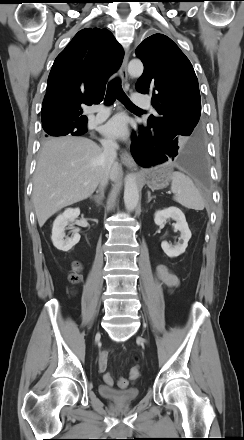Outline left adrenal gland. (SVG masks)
<instances>
[{
  "mask_svg": "<svg viewBox=\"0 0 244 440\" xmlns=\"http://www.w3.org/2000/svg\"><path fill=\"white\" fill-rule=\"evenodd\" d=\"M154 198H156V196H151V193L148 192V201L147 202L149 203Z\"/></svg>",
  "mask_w": 244,
  "mask_h": 440,
  "instance_id": "left-adrenal-gland-1",
  "label": "left adrenal gland"
}]
</instances>
